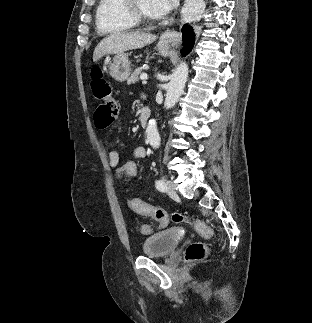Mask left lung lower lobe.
<instances>
[{
    "instance_id": "1",
    "label": "left lung lower lobe",
    "mask_w": 312,
    "mask_h": 323,
    "mask_svg": "<svg viewBox=\"0 0 312 323\" xmlns=\"http://www.w3.org/2000/svg\"><path fill=\"white\" fill-rule=\"evenodd\" d=\"M183 35V45L184 47L181 50V54L186 56L193 48L195 43V33L191 26L184 25L182 28Z\"/></svg>"
}]
</instances>
